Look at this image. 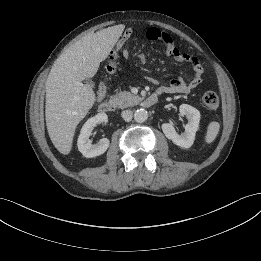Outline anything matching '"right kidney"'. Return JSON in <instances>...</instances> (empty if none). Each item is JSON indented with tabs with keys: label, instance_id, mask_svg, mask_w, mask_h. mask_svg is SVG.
Masks as SVG:
<instances>
[{
	"label": "right kidney",
	"instance_id": "1",
	"mask_svg": "<svg viewBox=\"0 0 261 261\" xmlns=\"http://www.w3.org/2000/svg\"><path fill=\"white\" fill-rule=\"evenodd\" d=\"M108 116L105 113H99L94 117L89 118L83 125L80 135L78 137V150L87 158L102 155L109 147L110 141L107 138H102L100 141L92 145L89 139L92 130L99 123H107Z\"/></svg>",
	"mask_w": 261,
	"mask_h": 261
}]
</instances>
